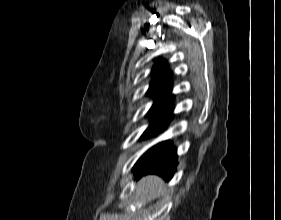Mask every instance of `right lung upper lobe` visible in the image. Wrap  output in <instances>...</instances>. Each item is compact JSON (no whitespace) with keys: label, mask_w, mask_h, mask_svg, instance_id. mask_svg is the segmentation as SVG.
Segmentation results:
<instances>
[{"label":"right lung upper lobe","mask_w":281,"mask_h":220,"mask_svg":"<svg viewBox=\"0 0 281 220\" xmlns=\"http://www.w3.org/2000/svg\"><path fill=\"white\" fill-rule=\"evenodd\" d=\"M153 80L150 83L148 95L155 97V103L148 114L154 119H171L173 95H171V72L164 60H158L153 67Z\"/></svg>","instance_id":"obj_1"}]
</instances>
